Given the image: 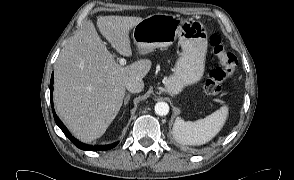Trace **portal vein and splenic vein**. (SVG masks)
<instances>
[{
  "instance_id": "18ae733b",
  "label": "portal vein and splenic vein",
  "mask_w": 294,
  "mask_h": 180,
  "mask_svg": "<svg viewBox=\"0 0 294 180\" xmlns=\"http://www.w3.org/2000/svg\"><path fill=\"white\" fill-rule=\"evenodd\" d=\"M119 64H120L121 66L126 65V59H124V58H119Z\"/></svg>"
}]
</instances>
